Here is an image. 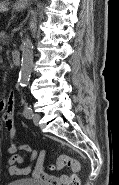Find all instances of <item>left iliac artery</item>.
Instances as JSON below:
<instances>
[{"instance_id": "left-iliac-artery-1", "label": "left iliac artery", "mask_w": 119, "mask_h": 185, "mask_svg": "<svg viewBox=\"0 0 119 185\" xmlns=\"http://www.w3.org/2000/svg\"><path fill=\"white\" fill-rule=\"evenodd\" d=\"M24 116L28 119H31L33 117V110L31 107H26L24 109Z\"/></svg>"}]
</instances>
